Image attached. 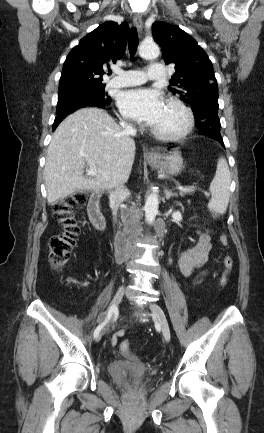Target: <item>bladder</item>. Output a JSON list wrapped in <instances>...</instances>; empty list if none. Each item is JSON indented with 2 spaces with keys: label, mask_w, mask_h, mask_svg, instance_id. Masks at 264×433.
I'll return each mask as SVG.
<instances>
[{
  "label": "bladder",
  "mask_w": 264,
  "mask_h": 433,
  "mask_svg": "<svg viewBox=\"0 0 264 433\" xmlns=\"http://www.w3.org/2000/svg\"><path fill=\"white\" fill-rule=\"evenodd\" d=\"M108 371L112 379L121 387L133 390H142L143 384H137L130 380V376L144 377L145 372L137 370L132 365L123 362H113L109 365Z\"/></svg>",
  "instance_id": "obj_1"
}]
</instances>
